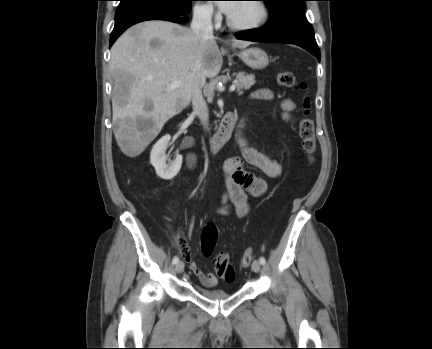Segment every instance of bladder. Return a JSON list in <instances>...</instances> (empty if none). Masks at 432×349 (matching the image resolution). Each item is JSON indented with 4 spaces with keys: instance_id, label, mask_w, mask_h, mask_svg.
Listing matches in <instances>:
<instances>
[{
    "instance_id": "obj_1",
    "label": "bladder",
    "mask_w": 432,
    "mask_h": 349,
    "mask_svg": "<svg viewBox=\"0 0 432 349\" xmlns=\"http://www.w3.org/2000/svg\"><path fill=\"white\" fill-rule=\"evenodd\" d=\"M199 292L201 295L211 300H221L229 296V293L223 289H208L200 287Z\"/></svg>"
}]
</instances>
